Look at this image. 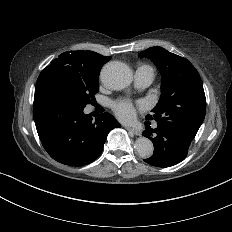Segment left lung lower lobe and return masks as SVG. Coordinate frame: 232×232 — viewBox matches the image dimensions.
<instances>
[{"instance_id":"1","label":"left lung lower lobe","mask_w":232,"mask_h":232,"mask_svg":"<svg viewBox=\"0 0 232 232\" xmlns=\"http://www.w3.org/2000/svg\"><path fill=\"white\" fill-rule=\"evenodd\" d=\"M154 145L153 155L144 161L156 167H170L183 161L188 153L191 139L182 133L163 125L143 132Z\"/></svg>"}]
</instances>
